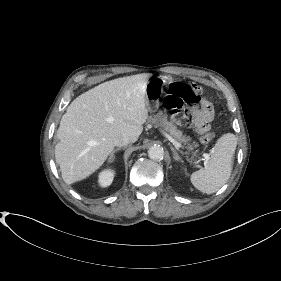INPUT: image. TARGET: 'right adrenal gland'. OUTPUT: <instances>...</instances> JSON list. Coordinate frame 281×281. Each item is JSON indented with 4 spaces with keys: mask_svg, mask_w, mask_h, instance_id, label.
Masks as SVG:
<instances>
[{
    "mask_svg": "<svg viewBox=\"0 0 281 281\" xmlns=\"http://www.w3.org/2000/svg\"><path fill=\"white\" fill-rule=\"evenodd\" d=\"M120 150V148H117V149H115V150H113V152L111 153V155H110V157H109V159H108V162H113L114 160H115V153L117 152V151H119Z\"/></svg>",
    "mask_w": 281,
    "mask_h": 281,
    "instance_id": "right-adrenal-gland-1",
    "label": "right adrenal gland"
}]
</instances>
